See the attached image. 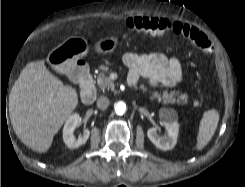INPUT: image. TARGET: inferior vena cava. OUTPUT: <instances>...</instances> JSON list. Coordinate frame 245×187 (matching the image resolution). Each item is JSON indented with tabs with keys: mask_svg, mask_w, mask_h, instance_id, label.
Listing matches in <instances>:
<instances>
[{
	"mask_svg": "<svg viewBox=\"0 0 245 187\" xmlns=\"http://www.w3.org/2000/svg\"><path fill=\"white\" fill-rule=\"evenodd\" d=\"M109 103L110 101L108 97L106 96H101L97 99V107L99 109H102V110L107 109V107L109 106Z\"/></svg>",
	"mask_w": 245,
	"mask_h": 187,
	"instance_id": "1",
	"label": "inferior vena cava"
}]
</instances>
